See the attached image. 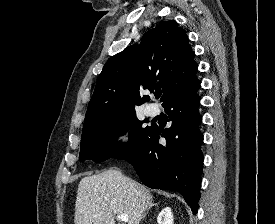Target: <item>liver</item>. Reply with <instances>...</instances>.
Masks as SVG:
<instances>
[{"label":"liver","instance_id":"obj_1","mask_svg":"<svg viewBox=\"0 0 275 224\" xmlns=\"http://www.w3.org/2000/svg\"><path fill=\"white\" fill-rule=\"evenodd\" d=\"M153 196L144 185L118 170L85 176L78 185L75 224H115V215L126 214L128 224H139Z\"/></svg>","mask_w":275,"mask_h":224}]
</instances>
